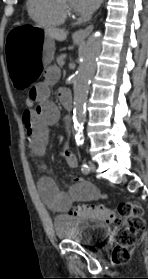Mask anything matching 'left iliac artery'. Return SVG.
I'll use <instances>...</instances> for the list:
<instances>
[{
  "mask_svg": "<svg viewBox=\"0 0 148 279\" xmlns=\"http://www.w3.org/2000/svg\"><path fill=\"white\" fill-rule=\"evenodd\" d=\"M89 171H90L89 166H88L86 163H84V164L82 165V172L85 173V174H87V173H89Z\"/></svg>",
  "mask_w": 148,
  "mask_h": 279,
  "instance_id": "1",
  "label": "left iliac artery"
}]
</instances>
